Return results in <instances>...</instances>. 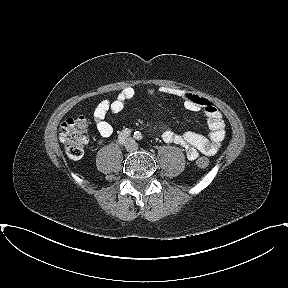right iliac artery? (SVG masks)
I'll return each instance as SVG.
<instances>
[{
    "label": "right iliac artery",
    "mask_w": 288,
    "mask_h": 288,
    "mask_svg": "<svg viewBox=\"0 0 288 288\" xmlns=\"http://www.w3.org/2000/svg\"><path fill=\"white\" fill-rule=\"evenodd\" d=\"M131 131L130 129H124L118 136V141L121 145H123L126 141V139L128 138V136L130 135Z\"/></svg>",
    "instance_id": "right-iliac-artery-1"
}]
</instances>
